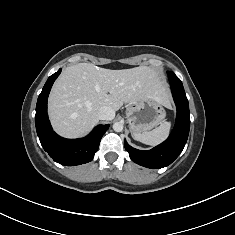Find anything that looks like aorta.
<instances>
[{
  "mask_svg": "<svg viewBox=\"0 0 235 235\" xmlns=\"http://www.w3.org/2000/svg\"><path fill=\"white\" fill-rule=\"evenodd\" d=\"M113 130L115 132H121L123 130V123L122 122H115L113 124Z\"/></svg>",
  "mask_w": 235,
  "mask_h": 235,
  "instance_id": "762f6f07",
  "label": "aorta"
}]
</instances>
